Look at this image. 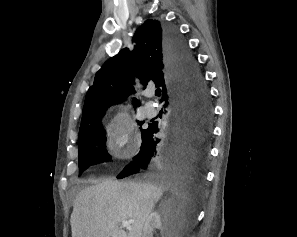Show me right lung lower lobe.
I'll list each match as a JSON object with an SVG mask.
<instances>
[{"mask_svg": "<svg viewBox=\"0 0 297 237\" xmlns=\"http://www.w3.org/2000/svg\"><path fill=\"white\" fill-rule=\"evenodd\" d=\"M164 48L171 89L163 98L169 108L165 136L157 137L158 123L150 124L140 152L117 176L144 172L150 177L173 173L203 174L208 161L211 107L203 78L184 38L173 25L164 24Z\"/></svg>", "mask_w": 297, "mask_h": 237, "instance_id": "obj_1", "label": "right lung lower lobe"}]
</instances>
